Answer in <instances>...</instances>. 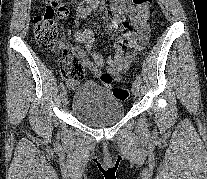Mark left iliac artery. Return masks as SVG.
Instances as JSON below:
<instances>
[{
  "label": "left iliac artery",
  "instance_id": "44dca946",
  "mask_svg": "<svg viewBox=\"0 0 207 179\" xmlns=\"http://www.w3.org/2000/svg\"><path fill=\"white\" fill-rule=\"evenodd\" d=\"M96 8H97V6H94V10H96ZM136 81L141 83V76L140 75H136Z\"/></svg>",
  "mask_w": 207,
  "mask_h": 179
}]
</instances>
